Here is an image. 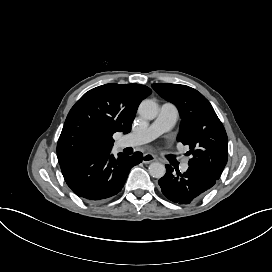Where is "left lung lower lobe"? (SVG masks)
<instances>
[{
  "instance_id": "0a47b994",
  "label": "left lung lower lobe",
  "mask_w": 272,
  "mask_h": 272,
  "mask_svg": "<svg viewBox=\"0 0 272 272\" xmlns=\"http://www.w3.org/2000/svg\"><path fill=\"white\" fill-rule=\"evenodd\" d=\"M170 165H166V174L159 179L158 184L163 195L173 203L190 204L200 199L216 183V179L206 171L189 166L188 170L181 174L173 172Z\"/></svg>"
}]
</instances>
